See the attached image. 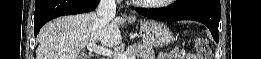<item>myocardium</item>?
<instances>
[{
	"mask_svg": "<svg viewBox=\"0 0 261 59\" xmlns=\"http://www.w3.org/2000/svg\"><path fill=\"white\" fill-rule=\"evenodd\" d=\"M170 1L171 0H165V1L161 2L160 4H149V3H140V2H137V4L142 6V7L155 8V7H158V6H163L164 3L170 2Z\"/></svg>",
	"mask_w": 261,
	"mask_h": 59,
	"instance_id": "obj_1",
	"label": "myocardium"
}]
</instances>
